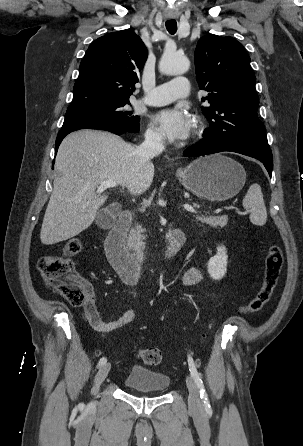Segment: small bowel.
<instances>
[{
    "instance_id": "small-bowel-1",
    "label": "small bowel",
    "mask_w": 303,
    "mask_h": 446,
    "mask_svg": "<svg viewBox=\"0 0 303 446\" xmlns=\"http://www.w3.org/2000/svg\"><path fill=\"white\" fill-rule=\"evenodd\" d=\"M203 276L204 272L201 268L191 267L183 274L182 283L186 286L193 285L201 281ZM82 285L86 294V302L81 310V316L93 329L101 332L112 331L130 323L135 319V311L128 310L115 321H104L96 307L92 287L87 283H82Z\"/></svg>"
}]
</instances>
